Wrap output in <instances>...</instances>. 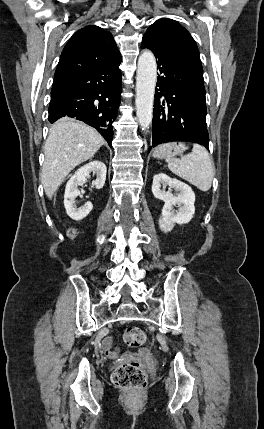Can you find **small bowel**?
Wrapping results in <instances>:
<instances>
[{"label": "small bowel", "instance_id": "1", "mask_svg": "<svg viewBox=\"0 0 264 429\" xmlns=\"http://www.w3.org/2000/svg\"><path fill=\"white\" fill-rule=\"evenodd\" d=\"M102 347L104 351L106 352L107 356L111 359H117L120 357V354L117 350H111L112 347V338L110 336L104 338L102 342ZM144 352H140L138 356H142ZM134 357V354L131 353H125L122 355L123 360H130Z\"/></svg>", "mask_w": 264, "mask_h": 429}]
</instances>
